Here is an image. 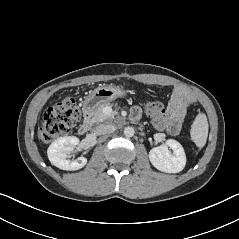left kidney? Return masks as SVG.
I'll list each match as a JSON object with an SVG mask.
<instances>
[{"mask_svg": "<svg viewBox=\"0 0 239 239\" xmlns=\"http://www.w3.org/2000/svg\"><path fill=\"white\" fill-rule=\"evenodd\" d=\"M169 148L173 150V153ZM149 159L155 168L166 173H178L186 165L184 149L178 141L173 139H168L164 145L151 149Z\"/></svg>", "mask_w": 239, "mask_h": 239, "instance_id": "obj_1", "label": "left kidney"}]
</instances>
